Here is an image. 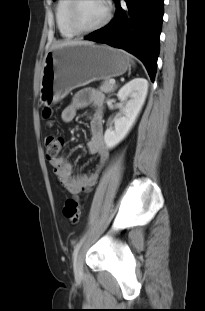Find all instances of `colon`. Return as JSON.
Instances as JSON below:
<instances>
[{"label": "colon", "instance_id": "1", "mask_svg": "<svg viewBox=\"0 0 205 311\" xmlns=\"http://www.w3.org/2000/svg\"><path fill=\"white\" fill-rule=\"evenodd\" d=\"M46 118L51 116V110L46 109L44 112ZM64 146V139L60 136L48 135L45 138L46 158L53 160L59 157V154ZM64 217L71 223L76 224L80 220L81 204L77 197H70L65 201L63 207Z\"/></svg>", "mask_w": 205, "mask_h": 311}]
</instances>
